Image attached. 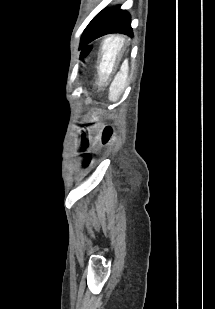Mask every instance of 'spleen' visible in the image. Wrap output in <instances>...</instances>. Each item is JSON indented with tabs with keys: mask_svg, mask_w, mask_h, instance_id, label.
Wrapping results in <instances>:
<instances>
[{
	"mask_svg": "<svg viewBox=\"0 0 215 309\" xmlns=\"http://www.w3.org/2000/svg\"><path fill=\"white\" fill-rule=\"evenodd\" d=\"M113 84H120L121 88H123L124 86V80H121V72H119V74H116L112 84H111V88L113 86ZM117 96H114L113 100H116Z\"/></svg>",
	"mask_w": 215,
	"mask_h": 309,
	"instance_id": "1",
	"label": "spleen"
}]
</instances>
